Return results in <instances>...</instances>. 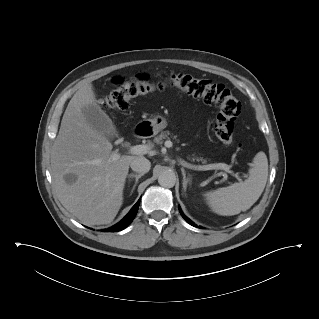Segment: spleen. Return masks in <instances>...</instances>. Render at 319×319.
Instances as JSON below:
<instances>
[{
	"label": "spleen",
	"instance_id": "3e777b00",
	"mask_svg": "<svg viewBox=\"0 0 319 319\" xmlns=\"http://www.w3.org/2000/svg\"><path fill=\"white\" fill-rule=\"evenodd\" d=\"M268 177V160L264 152H258L249 169V177L243 182L206 193L211 209L223 216H232L246 211L261 196Z\"/></svg>",
	"mask_w": 319,
	"mask_h": 319
}]
</instances>
